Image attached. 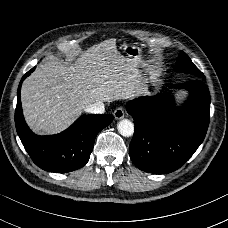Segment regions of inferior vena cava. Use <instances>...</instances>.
Returning <instances> with one entry per match:
<instances>
[{
  "label": "inferior vena cava",
  "instance_id": "obj_1",
  "mask_svg": "<svg viewBox=\"0 0 228 228\" xmlns=\"http://www.w3.org/2000/svg\"><path fill=\"white\" fill-rule=\"evenodd\" d=\"M85 111L93 114H103L105 111V104L102 102L93 103L85 108Z\"/></svg>",
  "mask_w": 228,
  "mask_h": 228
}]
</instances>
